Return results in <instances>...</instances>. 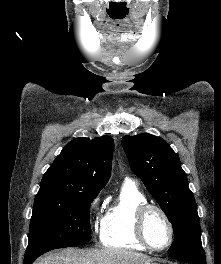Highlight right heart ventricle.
I'll use <instances>...</instances> for the list:
<instances>
[{
  "instance_id": "e07e8e85",
  "label": "right heart ventricle",
  "mask_w": 221,
  "mask_h": 264,
  "mask_svg": "<svg viewBox=\"0 0 221 264\" xmlns=\"http://www.w3.org/2000/svg\"><path fill=\"white\" fill-rule=\"evenodd\" d=\"M147 198L132 181H126L119 196L108 206L100 228V240L106 247L145 250L134 232L136 210Z\"/></svg>"
}]
</instances>
